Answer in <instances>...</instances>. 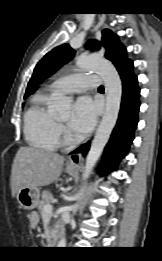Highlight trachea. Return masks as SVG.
<instances>
[{
	"mask_svg": "<svg viewBox=\"0 0 162 261\" xmlns=\"http://www.w3.org/2000/svg\"><path fill=\"white\" fill-rule=\"evenodd\" d=\"M99 89L102 90V89H104V88H103V86H100Z\"/></svg>",
	"mask_w": 162,
	"mask_h": 261,
	"instance_id": "obj_1",
	"label": "trachea"
}]
</instances>
